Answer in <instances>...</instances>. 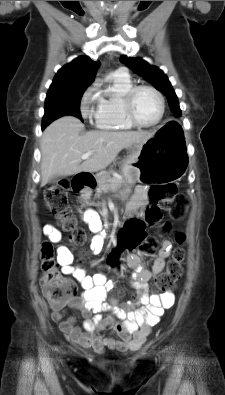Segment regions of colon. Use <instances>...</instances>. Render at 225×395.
Here are the masks:
<instances>
[{
  "label": "colon",
  "mask_w": 225,
  "mask_h": 395,
  "mask_svg": "<svg viewBox=\"0 0 225 395\" xmlns=\"http://www.w3.org/2000/svg\"><path fill=\"white\" fill-rule=\"evenodd\" d=\"M148 196L151 206L146 211L145 221L140 220L139 215H132L131 220L124 223L120 235V244H113L109 249L106 260L114 272H121L118 265L119 251H136L146 256H151L157 251V240L147 237L145 234L146 223H153L158 217L160 210L168 211L174 220L183 219L189 208L188 197L178 192L176 185H152ZM45 206L49 212L58 218L64 230L71 233V240L77 246H83L86 242L84 230L77 226L76 219L69 204V184L60 181L48 186L44 193ZM178 247L174 249L165 271L155 279L153 288L160 292H170L176 286V282L182 275V264L185 259L183 245L186 236L182 232L175 235ZM41 257V285L44 295L51 307L63 310L68 306V301L73 296V284L64 278L59 270V262L50 242H44L40 252ZM140 296V295H139Z\"/></svg>",
  "instance_id": "obj_1"
}]
</instances>
